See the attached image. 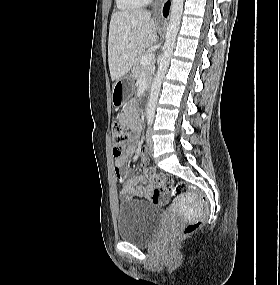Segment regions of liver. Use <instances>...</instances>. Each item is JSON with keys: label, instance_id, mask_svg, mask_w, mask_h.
Returning a JSON list of instances; mask_svg holds the SVG:
<instances>
[{"label": "liver", "instance_id": "1", "mask_svg": "<svg viewBox=\"0 0 280 285\" xmlns=\"http://www.w3.org/2000/svg\"><path fill=\"white\" fill-rule=\"evenodd\" d=\"M156 41L157 28L149 11L139 9L113 13L108 39V60L112 80L118 81L126 75L137 57Z\"/></svg>", "mask_w": 280, "mask_h": 285}]
</instances>
